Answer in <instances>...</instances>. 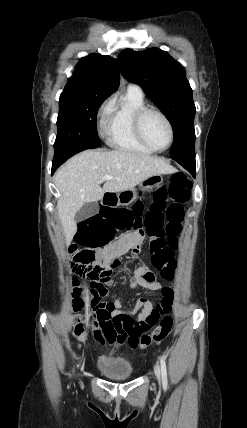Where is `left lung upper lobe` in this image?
<instances>
[{
  "label": "left lung upper lobe",
  "instance_id": "1",
  "mask_svg": "<svg viewBox=\"0 0 247 428\" xmlns=\"http://www.w3.org/2000/svg\"><path fill=\"white\" fill-rule=\"evenodd\" d=\"M123 77L136 83L167 116L175 132L171 157L195 156V105L182 66L165 51L123 50L118 57Z\"/></svg>",
  "mask_w": 247,
  "mask_h": 428
}]
</instances>
